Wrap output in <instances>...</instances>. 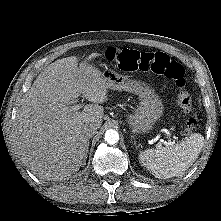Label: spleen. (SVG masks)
Returning <instances> with one entry per match:
<instances>
[{
    "instance_id": "1",
    "label": "spleen",
    "mask_w": 221,
    "mask_h": 221,
    "mask_svg": "<svg viewBox=\"0 0 221 221\" xmlns=\"http://www.w3.org/2000/svg\"><path fill=\"white\" fill-rule=\"evenodd\" d=\"M204 144L200 133L191 134L176 144L156 146L138 155L139 162L156 178H171L185 171L198 157Z\"/></svg>"
}]
</instances>
